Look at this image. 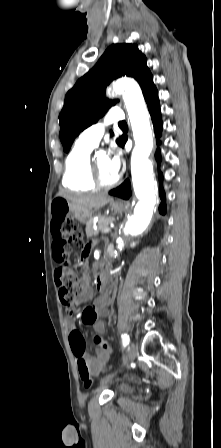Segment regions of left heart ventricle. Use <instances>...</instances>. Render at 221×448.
Returning a JSON list of instances; mask_svg holds the SVG:
<instances>
[{"label": "left heart ventricle", "mask_w": 221, "mask_h": 448, "mask_svg": "<svg viewBox=\"0 0 221 448\" xmlns=\"http://www.w3.org/2000/svg\"><path fill=\"white\" fill-rule=\"evenodd\" d=\"M96 166L98 168V171L101 175V177L105 181H112L116 178L114 174H112L109 170L108 163L109 158L107 156H99L95 159Z\"/></svg>", "instance_id": "1"}]
</instances>
